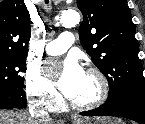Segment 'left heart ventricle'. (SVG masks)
I'll return each instance as SVG.
<instances>
[{"instance_id":"1","label":"left heart ventricle","mask_w":145,"mask_h":124,"mask_svg":"<svg viewBox=\"0 0 145 124\" xmlns=\"http://www.w3.org/2000/svg\"><path fill=\"white\" fill-rule=\"evenodd\" d=\"M98 94L99 84L97 79L92 75L84 73L74 93L68 98L75 103L82 104L94 100Z\"/></svg>"}]
</instances>
